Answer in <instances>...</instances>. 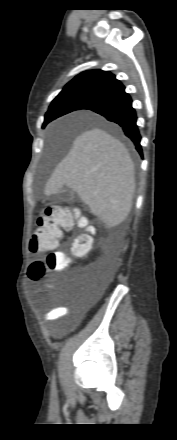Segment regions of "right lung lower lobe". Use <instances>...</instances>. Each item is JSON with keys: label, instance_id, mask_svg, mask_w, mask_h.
<instances>
[{"label": "right lung lower lobe", "instance_id": "98d812e1", "mask_svg": "<svg viewBox=\"0 0 177 440\" xmlns=\"http://www.w3.org/2000/svg\"><path fill=\"white\" fill-rule=\"evenodd\" d=\"M83 109L96 112L105 117L108 121L117 123L122 127L124 134L132 140L136 146V150L142 156V148L140 145L141 135L136 125V112L132 107L130 96L124 91V89L105 98L94 101Z\"/></svg>", "mask_w": 177, "mask_h": 440}]
</instances>
